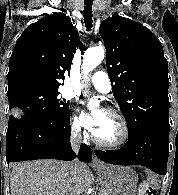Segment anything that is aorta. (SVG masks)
I'll use <instances>...</instances> for the list:
<instances>
[{"instance_id":"obj_1","label":"aorta","mask_w":178,"mask_h":195,"mask_svg":"<svg viewBox=\"0 0 178 195\" xmlns=\"http://www.w3.org/2000/svg\"><path fill=\"white\" fill-rule=\"evenodd\" d=\"M105 50L103 47H94L87 50L83 57L82 70L84 77H87L88 73L96 68L101 61L104 59ZM97 104L95 99L90 100L89 106H94Z\"/></svg>"}]
</instances>
